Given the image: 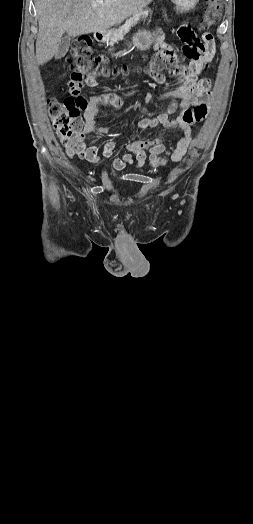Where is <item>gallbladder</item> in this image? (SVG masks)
I'll use <instances>...</instances> for the list:
<instances>
[{
  "instance_id": "bac80fb5",
  "label": "gallbladder",
  "mask_w": 253,
  "mask_h": 524,
  "mask_svg": "<svg viewBox=\"0 0 253 524\" xmlns=\"http://www.w3.org/2000/svg\"><path fill=\"white\" fill-rule=\"evenodd\" d=\"M70 41H71V37L70 36H66L62 39L58 49H57V52L55 54V59H61L63 58L68 49H69V46H70Z\"/></svg>"
}]
</instances>
